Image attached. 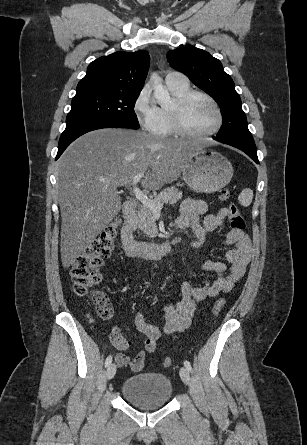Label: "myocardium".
Wrapping results in <instances>:
<instances>
[{"label":"myocardium","instance_id":"obj_1","mask_svg":"<svg viewBox=\"0 0 307 445\" xmlns=\"http://www.w3.org/2000/svg\"><path fill=\"white\" fill-rule=\"evenodd\" d=\"M196 98L206 100L216 108L219 121L214 129L206 132H195L186 124L184 118L185 109L188 104ZM166 109L174 132L182 136L177 137V139H203L218 133L225 124V113L220 103L210 95L201 91L190 90L180 97L172 98Z\"/></svg>","mask_w":307,"mask_h":445}]
</instances>
